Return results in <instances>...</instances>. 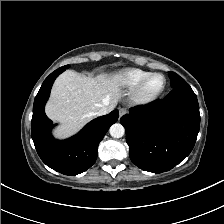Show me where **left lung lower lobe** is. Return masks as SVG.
I'll use <instances>...</instances> for the list:
<instances>
[{"mask_svg":"<svg viewBox=\"0 0 224 224\" xmlns=\"http://www.w3.org/2000/svg\"><path fill=\"white\" fill-rule=\"evenodd\" d=\"M132 162L162 173L179 164L192 151L200 128L197 97L184 83L148 105L131 108L120 119Z\"/></svg>","mask_w":224,"mask_h":224,"instance_id":"0a47b994","label":"left lung lower lobe"}]
</instances>
